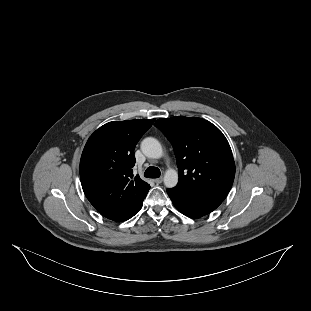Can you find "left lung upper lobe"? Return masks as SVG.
Listing matches in <instances>:
<instances>
[{
	"label": "left lung upper lobe",
	"instance_id": "1",
	"mask_svg": "<svg viewBox=\"0 0 311 311\" xmlns=\"http://www.w3.org/2000/svg\"><path fill=\"white\" fill-rule=\"evenodd\" d=\"M155 126L174 149L179 172L175 188L223 201L235 176L232 151L223 133L198 117L161 118Z\"/></svg>",
	"mask_w": 311,
	"mask_h": 311
}]
</instances>
